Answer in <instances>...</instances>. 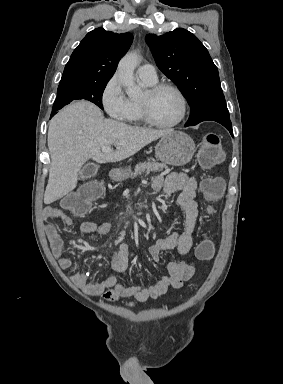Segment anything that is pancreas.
<instances>
[{"instance_id": "pancreas-1", "label": "pancreas", "mask_w": 283, "mask_h": 384, "mask_svg": "<svg viewBox=\"0 0 283 384\" xmlns=\"http://www.w3.org/2000/svg\"><path fill=\"white\" fill-rule=\"evenodd\" d=\"M165 168H167L166 164H158V162H140V164H136L131 178L141 176L143 172H146V174H149V172H162Z\"/></svg>"}]
</instances>
